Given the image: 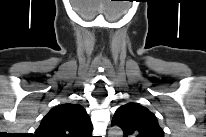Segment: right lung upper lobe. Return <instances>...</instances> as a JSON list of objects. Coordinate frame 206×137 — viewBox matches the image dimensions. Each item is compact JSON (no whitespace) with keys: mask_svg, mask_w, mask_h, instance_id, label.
<instances>
[{"mask_svg":"<svg viewBox=\"0 0 206 137\" xmlns=\"http://www.w3.org/2000/svg\"><path fill=\"white\" fill-rule=\"evenodd\" d=\"M93 126L80 104H62L52 108L36 130L38 137H85Z\"/></svg>","mask_w":206,"mask_h":137,"instance_id":"obj_1","label":"right lung upper lobe"}]
</instances>
